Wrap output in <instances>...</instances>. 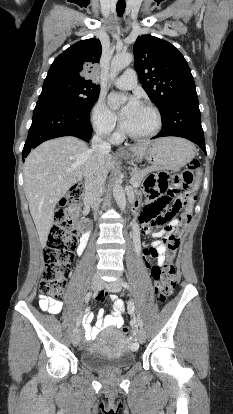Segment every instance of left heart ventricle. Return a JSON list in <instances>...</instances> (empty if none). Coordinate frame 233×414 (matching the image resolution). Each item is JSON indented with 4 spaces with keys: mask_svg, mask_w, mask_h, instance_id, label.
Masks as SVG:
<instances>
[{
    "mask_svg": "<svg viewBox=\"0 0 233 414\" xmlns=\"http://www.w3.org/2000/svg\"><path fill=\"white\" fill-rule=\"evenodd\" d=\"M154 113L140 106L129 118L123 121L124 126L132 133L143 135L152 132L156 127Z\"/></svg>",
    "mask_w": 233,
    "mask_h": 414,
    "instance_id": "1",
    "label": "left heart ventricle"
}]
</instances>
